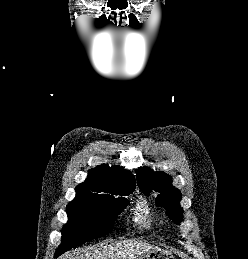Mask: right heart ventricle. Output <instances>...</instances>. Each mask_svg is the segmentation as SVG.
Returning a JSON list of instances; mask_svg holds the SVG:
<instances>
[{"label": "right heart ventricle", "instance_id": "e07e8e85", "mask_svg": "<svg viewBox=\"0 0 248 259\" xmlns=\"http://www.w3.org/2000/svg\"><path fill=\"white\" fill-rule=\"evenodd\" d=\"M147 214H148V211L146 208H144V206H142V209H141V213L139 215V219L142 221V220H145L146 217H147Z\"/></svg>", "mask_w": 248, "mask_h": 259}]
</instances>
